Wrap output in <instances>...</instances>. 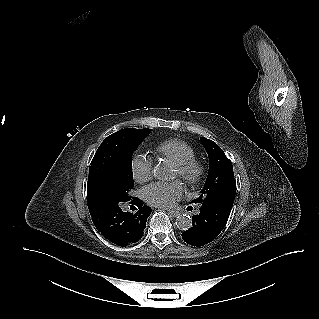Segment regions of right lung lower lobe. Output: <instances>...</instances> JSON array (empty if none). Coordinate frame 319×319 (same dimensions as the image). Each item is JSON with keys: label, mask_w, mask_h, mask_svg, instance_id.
Returning <instances> with one entry per match:
<instances>
[{"label": "right lung lower lobe", "mask_w": 319, "mask_h": 319, "mask_svg": "<svg viewBox=\"0 0 319 319\" xmlns=\"http://www.w3.org/2000/svg\"><path fill=\"white\" fill-rule=\"evenodd\" d=\"M124 203L131 204L137 212L122 211ZM87 204L98 231L121 247L136 243L143 236L147 217L151 213V208L143 205L137 197H124L106 190L87 193Z\"/></svg>", "instance_id": "right-lung-lower-lobe-1"}]
</instances>
